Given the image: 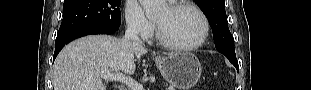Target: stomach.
Here are the masks:
<instances>
[{"mask_svg":"<svg viewBox=\"0 0 311 90\" xmlns=\"http://www.w3.org/2000/svg\"><path fill=\"white\" fill-rule=\"evenodd\" d=\"M155 63L164 79L178 90H189L200 79L201 64L189 52H172L155 58Z\"/></svg>","mask_w":311,"mask_h":90,"instance_id":"obj_1","label":"stomach"}]
</instances>
